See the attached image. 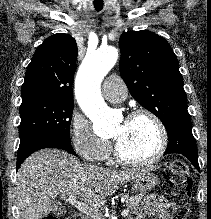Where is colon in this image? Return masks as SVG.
<instances>
[{
  "mask_svg": "<svg viewBox=\"0 0 211 219\" xmlns=\"http://www.w3.org/2000/svg\"><path fill=\"white\" fill-rule=\"evenodd\" d=\"M188 174V166L182 160H174L165 170V193L173 219H187L189 216L192 183ZM46 219L59 218L48 216ZM67 219H72V217Z\"/></svg>",
  "mask_w": 211,
  "mask_h": 219,
  "instance_id": "colon-1",
  "label": "colon"
}]
</instances>
